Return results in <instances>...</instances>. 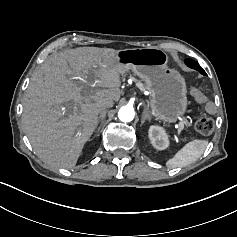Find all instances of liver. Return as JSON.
Listing matches in <instances>:
<instances>
[{
  "label": "liver",
  "instance_id": "obj_1",
  "mask_svg": "<svg viewBox=\"0 0 237 237\" xmlns=\"http://www.w3.org/2000/svg\"><path fill=\"white\" fill-rule=\"evenodd\" d=\"M117 51L78 47L49 57L34 74L23 103L22 123L36 155L46 164L72 168L98 124L103 99H120ZM98 89L88 97L84 86Z\"/></svg>",
  "mask_w": 237,
  "mask_h": 237
}]
</instances>
